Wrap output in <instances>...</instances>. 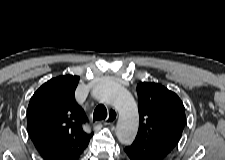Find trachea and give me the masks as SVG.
Instances as JSON below:
<instances>
[{"instance_id":"1","label":"trachea","mask_w":225,"mask_h":160,"mask_svg":"<svg viewBox=\"0 0 225 160\" xmlns=\"http://www.w3.org/2000/svg\"><path fill=\"white\" fill-rule=\"evenodd\" d=\"M107 117V109L104 105L99 104L93 113V121L104 120Z\"/></svg>"}]
</instances>
